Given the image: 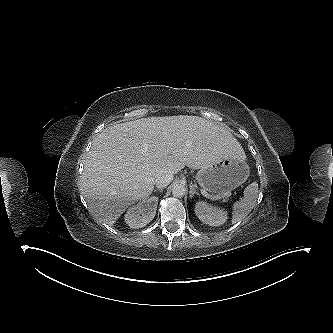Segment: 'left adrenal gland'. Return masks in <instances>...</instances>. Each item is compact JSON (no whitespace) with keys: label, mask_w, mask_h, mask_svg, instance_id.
<instances>
[{"label":"left adrenal gland","mask_w":333,"mask_h":333,"mask_svg":"<svg viewBox=\"0 0 333 333\" xmlns=\"http://www.w3.org/2000/svg\"><path fill=\"white\" fill-rule=\"evenodd\" d=\"M195 194L200 196V194L196 191V189L193 186H191L190 192H189V197L192 199Z\"/></svg>","instance_id":"obj_1"}]
</instances>
